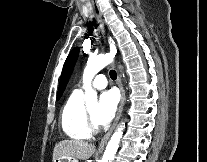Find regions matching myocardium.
Returning <instances> with one entry per match:
<instances>
[{
    "instance_id": "1",
    "label": "myocardium",
    "mask_w": 207,
    "mask_h": 162,
    "mask_svg": "<svg viewBox=\"0 0 207 162\" xmlns=\"http://www.w3.org/2000/svg\"><path fill=\"white\" fill-rule=\"evenodd\" d=\"M85 115H86V120H87V124L89 129L92 132H97L99 129V125L98 123L93 119V117L91 116L90 112L88 111V109H85Z\"/></svg>"
}]
</instances>
